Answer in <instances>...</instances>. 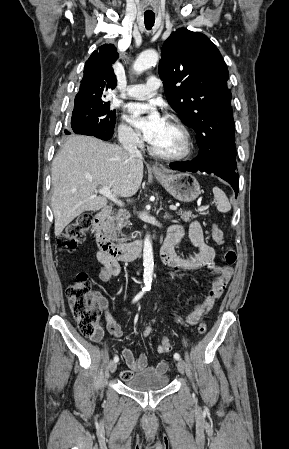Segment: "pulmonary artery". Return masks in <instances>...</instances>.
Masks as SVG:
<instances>
[{
    "label": "pulmonary artery",
    "mask_w": 289,
    "mask_h": 449,
    "mask_svg": "<svg viewBox=\"0 0 289 449\" xmlns=\"http://www.w3.org/2000/svg\"><path fill=\"white\" fill-rule=\"evenodd\" d=\"M161 87V80L157 77H149L145 84L130 85L126 89V96L136 99H146L155 94Z\"/></svg>",
    "instance_id": "1"
}]
</instances>
